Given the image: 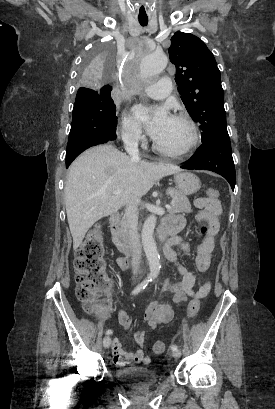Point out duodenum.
<instances>
[{
	"mask_svg": "<svg viewBox=\"0 0 275 409\" xmlns=\"http://www.w3.org/2000/svg\"><path fill=\"white\" fill-rule=\"evenodd\" d=\"M109 221L114 244L125 256L131 257L134 253V248L128 235L121 226L120 215L118 213L112 214ZM178 230L179 227L176 224L164 222L158 230L159 239L165 240L168 235H173Z\"/></svg>",
	"mask_w": 275,
	"mask_h": 409,
	"instance_id": "duodenum-1",
	"label": "duodenum"
}]
</instances>
